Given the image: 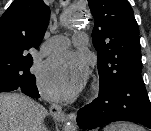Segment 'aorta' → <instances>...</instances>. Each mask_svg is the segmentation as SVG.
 Listing matches in <instances>:
<instances>
[{"label": "aorta", "mask_w": 151, "mask_h": 131, "mask_svg": "<svg viewBox=\"0 0 151 131\" xmlns=\"http://www.w3.org/2000/svg\"><path fill=\"white\" fill-rule=\"evenodd\" d=\"M73 24H75V25H77V26H79V25H81L82 24V21H81V18H80V16H78L77 18H75L74 20H73ZM76 125H74L73 123H71V122H68L66 125H65V127H64V131H76Z\"/></svg>", "instance_id": "obj_1"}]
</instances>
